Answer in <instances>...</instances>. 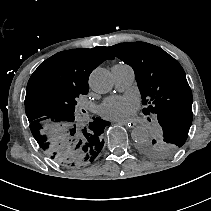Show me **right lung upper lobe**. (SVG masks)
I'll list each match as a JSON object with an SVG mask.
<instances>
[{
	"instance_id": "obj_1",
	"label": "right lung upper lobe",
	"mask_w": 211,
	"mask_h": 211,
	"mask_svg": "<svg viewBox=\"0 0 211 211\" xmlns=\"http://www.w3.org/2000/svg\"><path fill=\"white\" fill-rule=\"evenodd\" d=\"M106 59L113 60V54L108 48L97 46L62 51L42 62L31 75L26 88L25 111L30 124L37 120L33 117L41 91L68 89L86 95L90 73Z\"/></svg>"
}]
</instances>
